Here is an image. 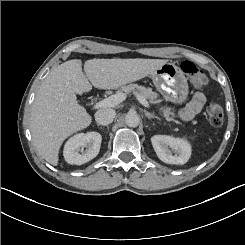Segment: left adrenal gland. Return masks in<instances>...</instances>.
Instances as JSON below:
<instances>
[{
    "mask_svg": "<svg viewBox=\"0 0 245 245\" xmlns=\"http://www.w3.org/2000/svg\"><path fill=\"white\" fill-rule=\"evenodd\" d=\"M144 113L146 115L147 118H156L158 120H161L160 117L156 116L154 113H149L148 111L144 110Z\"/></svg>",
    "mask_w": 245,
    "mask_h": 245,
    "instance_id": "left-adrenal-gland-1",
    "label": "left adrenal gland"
}]
</instances>
